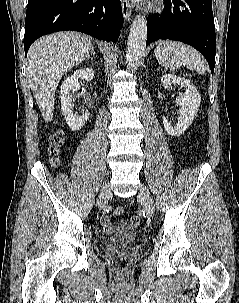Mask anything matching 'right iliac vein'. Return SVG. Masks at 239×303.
<instances>
[{"instance_id": "63e3f726", "label": "right iliac vein", "mask_w": 239, "mask_h": 303, "mask_svg": "<svg viewBox=\"0 0 239 303\" xmlns=\"http://www.w3.org/2000/svg\"><path fill=\"white\" fill-rule=\"evenodd\" d=\"M111 197V191H110V185L109 182H105L103 184V187L101 189L98 201H97V205L99 209H102L105 207V205L107 204L108 200Z\"/></svg>"}]
</instances>
